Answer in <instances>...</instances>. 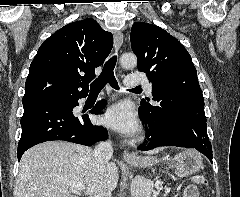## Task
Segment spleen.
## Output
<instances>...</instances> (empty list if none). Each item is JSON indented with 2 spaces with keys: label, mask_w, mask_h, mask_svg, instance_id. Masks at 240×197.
I'll list each match as a JSON object with an SVG mask.
<instances>
[{
  "label": "spleen",
  "mask_w": 240,
  "mask_h": 197,
  "mask_svg": "<svg viewBox=\"0 0 240 197\" xmlns=\"http://www.w3.org/2000/svg\"><path fill=\"white\" fill-rule=\"evenodd\" d=\"M150 194H151V189L148 190L147 196H150Z\"/></svg>",
  "instance_id": "obj_1"
}]
</instances>
